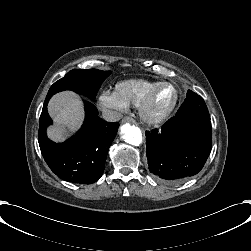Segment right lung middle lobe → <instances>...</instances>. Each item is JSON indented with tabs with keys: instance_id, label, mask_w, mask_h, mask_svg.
<instances>
[{
	"instance_id": "1",
	"label": "right lung middle lobe",
	"mask_w": 251,
	"mask_h": 251,
	"mask_svg": "<svg viewBox=\"0 0 251 251\" xmlns=\"http://www.w3.org/2000/svg\"><path fill=\"white\" fill-rule=\"evenodd\" d=\"M110 74L111 71L97 69L71 70L50 87L45 102H48L54 94L64 90H72L94 100L102 82Z\"/></svg>"
}]
</instances>
